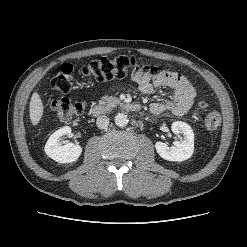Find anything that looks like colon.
<instances>
[{"instance_id": "colon-1", "label": "colon", "mask_w": 247, "mask_h": 247, "mask_svg": "<svg viewBox=\"0 0 247 247\" xmlns=\"http://www.w3.org/2000/svg\"><path fill=\"white\" fill-rule=\"evenodd\" d=\"M130 70H140L144 74L155 76L158 69L146 64L142 59L132 56L101 57L90 62L80 70V75L87 81L102 83L113 79L124 78ZM74 68L70 64H63L51 80V87L58 93H68L75 83ZM85 102H73L66 97L54 99L51 109L55 117L62 121H69L80 115L85 109ZM197 109L205 111V126L216 129L221 124V115L215 110H206L204 101H197Z\"/></svg>"}]
</instances>
